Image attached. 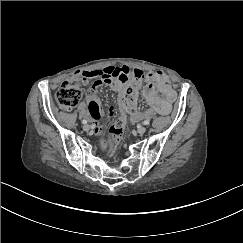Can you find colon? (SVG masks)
<instances>
[{"instance_id": "5ec220e1", "label": "colon", "mask_w": 243, "mask_h": 243, "mask_svg": "<svg viewBox=\"0 0 243 243\" xmlns=\"http://www.w3.org/2000/svg\"><path fill=\"white\" fill-rule=\"evenodd\" d=\"M141 77V74L135 73L131 79H124L122 81L124 86L119 94L120 116L111 127L108 137L109 142L112 144L121 142L128 117H135L138 114L137 96ZM80 99L81 91L79 87L69 82L63 83L56 93V101L64 110L74 108Z\"/></svg>"}]
</instances>
